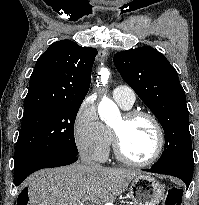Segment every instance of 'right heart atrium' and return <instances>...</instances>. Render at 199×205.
I'll return each instance as SVG.
<instances>
[{
  "label": "right heart atrium",
  "instance_id": "1",
  "mask_svg": "<svg viewBox=\"0 0 199 205\" xmlns=\"http://www.w3.org/2000/svg\"><path fill=\"white\" fill-rule=\"evenodd\" d=\"M73 135L82 156L98 162L107 159L111 134L100 121L93 99L86 98L79 106L73 122Z\"/></svg>",
  "mask_w": 199,
  "mask_h": 205
}]
</instances>
